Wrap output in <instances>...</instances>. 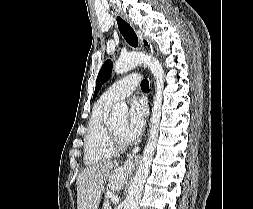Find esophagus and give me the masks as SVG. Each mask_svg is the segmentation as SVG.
I'll return each mask as SVG.
<instances>
[{"mask_svg":"<svg viewBox=\"0 0 253 209\" xmlns=\"http://www.w3.org/2000/svg\"><path fill=\"white\" fill-rule=\"evenodd\" d=\"M115 21L117 24V28L119 32L121 33L122 37L124 38L125 42L132 49H135V50L139 49L140 39L132 23L119 13H115ZM133 159L137 162L139 160V156L136 154H133L125 161V165L127 166L133 165Z\"/></svg>","mask_w":253,"mask_h":209,"instance_id":"34e87169","label":"esophagus"}]
</instances>
